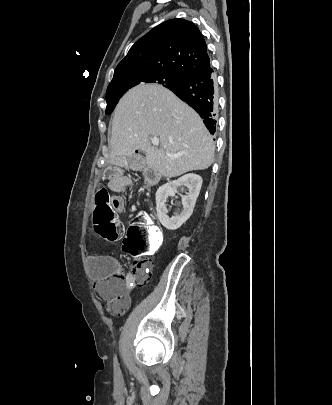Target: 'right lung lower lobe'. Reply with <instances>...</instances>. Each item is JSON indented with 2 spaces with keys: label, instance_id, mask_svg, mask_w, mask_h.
Listing matches in <instances>:
<instances>
[{
  "label": "right lung lower lobe",
  "instance_id": "1",
  "mask_svg": "<svg viewBox=\"0 0 332 405\" xmlns=\"http://www.w3.org/2000/svg\"><path fill=\"white\" fill-rule=\"evenodd\" d=\"M190 105L203 119L211 134L216 131L217 83L210 64L167 87Z\"/></svg>",
  "mask_w": 332,
  "mask_h": 405
}]
</instances>
